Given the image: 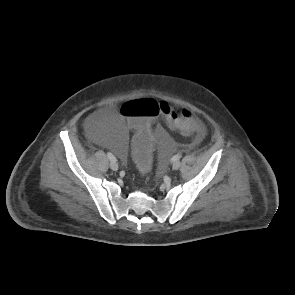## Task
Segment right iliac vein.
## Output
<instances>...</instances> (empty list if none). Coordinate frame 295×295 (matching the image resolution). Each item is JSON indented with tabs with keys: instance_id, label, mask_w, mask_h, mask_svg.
I'll return each instance as SVG.
<instances>
[{
	"instance_id": "right-iliac-vein-1",
	"label": "right iliac vein",
	"mask_w": 295,
	"mask_h": 295,
	"mask_svg": "<svg viewBox=\"0 0 295 295\" xmlns=\"http://www.w3.org/2000/svg\"><path fill=\"white\" fill-rule=\"evenodd\" d=\"M110 168L113 170V171H117L118 170V164L116 161H111L110 162Z\"/></svg>"
}]
</instances>
